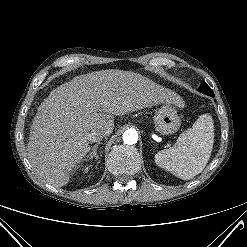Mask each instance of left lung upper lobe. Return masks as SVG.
<instances>
[{"label": "left lung upper lobe", "instance_id": "1", "mask_svg": "<svg viewBox=\"0 0 247 247\" xmlns=\"http://www.w3.org/2000/svg\"><path fill=\"white\" fill-rule=\"evenodd\" d=\"M199 91L201 93H204L206 95H209V96H214V93L212 91V89L206 84V83H202L201 86L199 87Z\"/></svg>", "mask_w": 247, "mask_h": 247}]
</instances>
